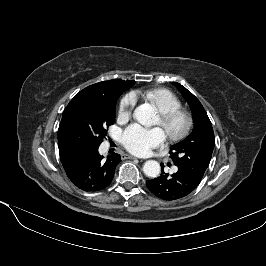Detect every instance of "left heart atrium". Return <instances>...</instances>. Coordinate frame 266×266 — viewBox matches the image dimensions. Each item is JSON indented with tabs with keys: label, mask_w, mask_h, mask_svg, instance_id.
<instances>
[{
	"label": "left heart atrium",
	"mask_w": 266,
	"mask_h": 266,
	"mask_svg": "<svg viewBox=\"0 0 266 266\" xmlns=\"http://www.w3.org/2000/svg\"><path fill=\"white\" fill-rule=\"evenodd\" d=\"M166 140L161 128L148 129L139 124H131L122 133L121 142L125 148L138 156H146L154 148L160 147Z\"/></svg>",
	"instance_id": "1"
}]
</instances>
